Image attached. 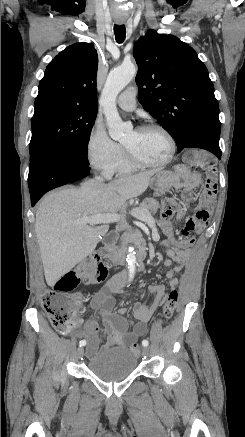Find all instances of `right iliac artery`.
<instances>
[{"instance_id": "1", "label": "right iliac artery", "mask_w": 245, "mask_h": 437, "mask_svg": "<svg viewBox=\"0 0 245 437\" xmlns=\"http://www.w3.org/2000/svg\"><path fill=\"white\" fill-rule=\"evenodd\" d=\"M85 345H86V341H85V340H81V341L79 342V346H80V347L85 346Z\"/></svg>"}]
</instances>
